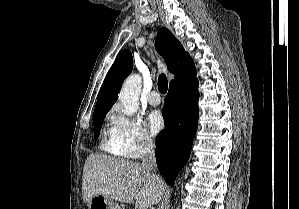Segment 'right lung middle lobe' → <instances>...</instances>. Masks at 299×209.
<instances>
[{
	"label": "right lung middle lobe",
	"mask_w": 299,
	"mask_h": 209,
	"mask_svg": "<svg viewBox=\"0 0 299 209\" xmlns=\"http://www.w3.org/2000/svg\"><path fill=\"white\" fill-rule=\"evenodd\" d=\"M105 114H106V112L94 114V133H95L94 136H95V139L98 138L99 130L102 127Z\"/></svg>",
	"instance_id": "1"
}]
</instances>
